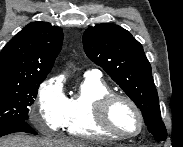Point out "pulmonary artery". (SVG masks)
Instances as JSON below:
<instances>
[{
	"mask_svg": "<svg viewBox=\"0 0 183 147\" xmlns=\"http://www.w3.org/2000/svg\"><path fill=\"white\" fill-rule=\"evenodd\" d=\"M101 76H102V73L98 69H90L85 72V77L100 79Z\"/></svg>",
	"mask_w": 183,
	"mask_h": 147,
	"instance_id": "e3ab8cb5",
	"label": "pulmonary artery"
}]
</instances>
